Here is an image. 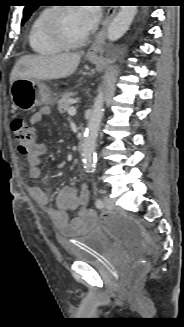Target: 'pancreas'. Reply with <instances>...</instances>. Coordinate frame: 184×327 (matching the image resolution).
<instances>
[{
    "mask_svg": "<svg viewBox=\"0 0 184 327\" xmlns=\"http://www.w3.org/2000/svg\"><path fill=\"white\" fill-rule=\"evenodd\" d=\"M73 93H64L61 95L60 99L58 100V111L60 114H64L70 106L72 105V97Z\"/></svg>",
    "mask_w": 184,
    "mask_h": 327,
    "instance_id": "obj_1",
    "label": "pancreas"
}]
</instances>
